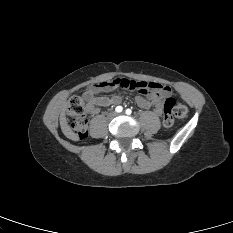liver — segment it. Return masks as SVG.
I'll use <instances>...</instances> for the list:
<instances>
[{
    "label": "liver",
    "mask_w": 233,
    "mask_h": 233,
    "mask_svg": "<svg viewBox=\"0 0 233 233\" xmlns=\"http://www.w3.org/2000/svg\"><path fill=\"white\" fill-rule=\"evenodd\" d=\"M66 108H67V102L63 101L60 106V116H59V122L62 132L67 135L70 131V128L67 123L66 119Z\"/></svg>",
    "instance_id": "liver-1"
}]
</instances>
